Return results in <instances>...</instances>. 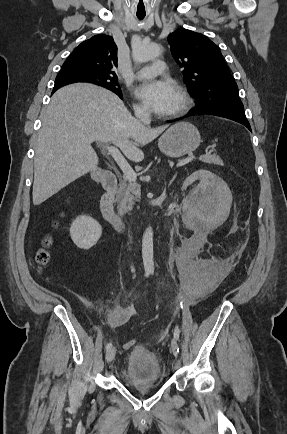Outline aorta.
I'll return each mask as SVG.
<instances>
[{
    "label": "aorta",
    "mask_w": 287,
    "mask_h": 434,
    "mask_svg": "<svg viewBox=\"0 0 287 434\" xmlns=\"http://www.w3.org/2000/svg\"><path fill=\"white\" fill-rule=\"evenodd\" d=\"M161 53V46L156 43L141 45L133 49V59L137 63H145L158 57ZM142 258L145 272L153 273V230L151 227L147 228L143 234Z\"/></svg>",
    "instance_id": "762f6f07"
}]
</instances>
